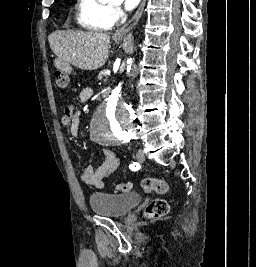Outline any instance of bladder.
Here are the masks:
<instances>
[{
    "instance_id": "1",
    "label": "bladder",
    "mask_w": 256,
    "mask_h": 267,
    "mask_svg": "<svg viewBox=\"0 0 256 267\" xmlns=\"http://www.w3.org/2000/svg\"><path fill=\"white\" fill-rule=\"evenodd\" d=\"M141 195L96 192L90 198L92 211L108 217H124L135 205L141 204Z\"/></svg>"
}]
</instances>
